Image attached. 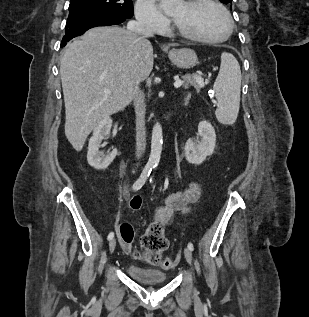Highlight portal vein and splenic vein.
<instances>
[{"label": "portal vein and splenic vein", "mask_w": 309, "mask_h": 317, "mask_svg": "<svg viewBox=\"0 0 309 317\" xmlns=\"http://www.w3.org/2000/svg\"><path fill=\"white\" fill-rule=\"evenodd\" d=\"M196 80H197V82L200 84L201 87L204 86V81H203V79H202L201 77L197 76V77H196ZM182 84H183V81H182V80H176V81L174 82V87H175V88H179V87L182 86ZM109 92H110L109 89H106V90H105V93H109Z\"/></svg>", "instance_id": "18ae733b"}]
</instances>
